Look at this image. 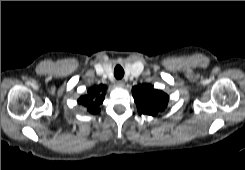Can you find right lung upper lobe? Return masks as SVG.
I'll return each mask as SVG.
<instances>
[{"mask_svg": "<svg viewBox=\"0 0 245 170\" xmlns=\"http://www.w3.org/2000/svg\"><path fill=\"white\" fill-rule=\"evenodd\" d=\"M106 94V86H93L88 90V94L81 96L78 103L87 107L88 111L93 114L100 112L99 105L103 102Z\"/></svg>", "mask_w": 245, "mask_h": 170, "instance_id": "1", "label": "right lung upper lobe"}]
</instances>
